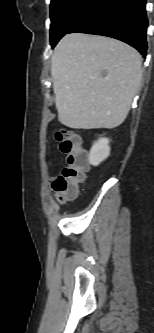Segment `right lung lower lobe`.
<instances>
[{
  "label": "right lung lower lobe",
  "mask_w": 154,
  "mask_h": 333,
  "mask_svg": "<svg viewBox=\"0 0 154 333\" xmlns=\"http://www.w3.org/2000/svg\"><path fill=\"white\" fill-rule=\"evenodd\" d=\"M146 0H99L69 33L81 32L112 37L147 52Z\"/></svg>",
  "instance_id": "98d812e1"
}]
</instances>
